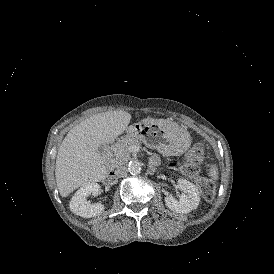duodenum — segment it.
Segmentation results:
<instances>
[{
	"instance_id": "1",
	"label": "duodenum",
	"mask_w": 274,
	"mask_h": 274,
	"mask_svg": "<svg viewBox=\"0 0 274 274\" xmlns=\"http://www.w3.org/2000/svg\"><path fill=\"white\" fill-rule=\"evenodd\" d=\"M110 149H111V143L108 144V145L105 147V159H106L107 164H110V160H109ZM108 177H109V178H113V177H114V172H113L112 170H110V171L108 172Z\"/></svg>"
}]
</instances>
